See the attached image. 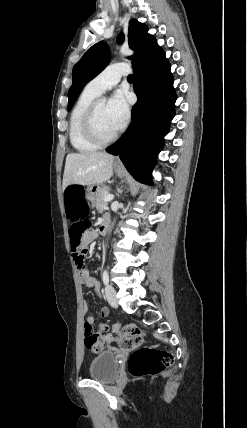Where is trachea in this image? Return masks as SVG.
<instances>
[{
  "label": "trachea",
  "instance_id": "obj_1",
  "mask_svg": "<svg viewBox=\"0 0 247 428\" xmlns=\"http://www.w3.org/2000/svg\"><path fill=\"white\" fill-rule=\"evenodd\" d=\"M127 79L130 80V81H132L133 80V75H131V74L128 75Z\"/></svg>",
  "mask_w": 247,
  "mask_h": 428
}]
</instances>
